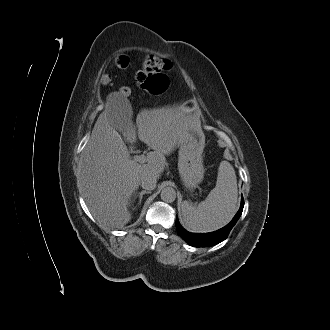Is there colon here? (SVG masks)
<instances>
[{
	"label": "colon",
	"instance_id": "obj_1",
	"mask_svg": "<svg viewBox=\"0 0 330 330\" xmlns=\"http://www.w3.org/2000/svg\"><path fill=\"white\" fill-rule=\"evenodd\" d=\"M128 64L129 59L124 55L117 56L113 61V65L117 68H126ZM171 68L172 62L169 59L150 55L145 58L141 68L135 73V82L139 88L149 93H161L168 84L163 72ZM119 92L123 96H129L131 94V88L123 86Z\"/></svg>",
	"mask_w": 330,
	"mask_h": 330
}]
</instances>
